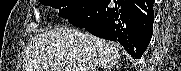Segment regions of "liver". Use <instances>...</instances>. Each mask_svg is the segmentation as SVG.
I'll list each match as a JSON object with an SVG mask.
<instances>
[{"instance_id":"obj_1","label":"liver","mask_w":181,"mask_h":71,"mask_svg":"<svg viewBox=\"0 0 181 71\" xmlns=\"http://www.w3.org/2000/svg\"><path fill=\"white\" fill-rule=\"evenodd\" d=\"M119 52L111 42L72 28H54L34 37L27 48L23 71H95L112 68Z\"/></svg>"}]
</instances>
